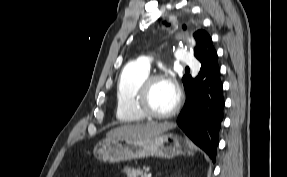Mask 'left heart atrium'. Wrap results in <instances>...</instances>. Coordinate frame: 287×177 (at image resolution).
Listing matches in <instances>:
<instances>
[{"label":"left heart atrium","mask_w":287,"mask_h":177,"mask_svg":"<svg viewBox=\"0 0 287 177\" xmlns=\"http://www.w3.org/2000/svg\"><path fill=\"white\" fill-rule=\"evenodd\" d=\"M169 82V84L175 89V84L172 80H167Z\"/></svg>","instance_id":"39dd6f15"}]
</instances>
